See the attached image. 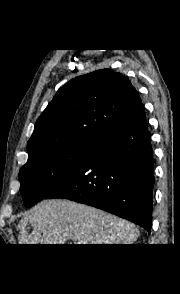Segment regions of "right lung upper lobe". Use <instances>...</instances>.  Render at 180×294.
Instances as JSON below:
<instances>
[{
    "label": "right lung upper lobe",
    "mask_w": 180,
    "mask_h": 294,
    "mask_svg": "<svg viewBox=\"0 0 180 294\" xmlns=\"http://www.w3.org/2000/svg\"><path fill=\"white\" fill-rule=\"evenodd\" d=\"M140 105L137 91L119 72L102 69L76 77L57 91L36 121L28 158L72 140L97 141Z\"/></svg>",
    "instance_id": "cb5924a9"
}]
</instances>
